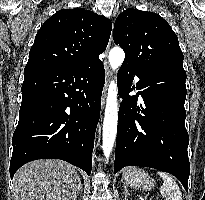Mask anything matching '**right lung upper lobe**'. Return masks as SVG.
<instances>
[{"label": "right lung upper lobe", "mask_w": 205, "mask_h": 200, "mask_svg": "<svg viewBox=\"0 0 205 200\" xmlns=\"http://www.w3.org/2000/svg\"><path fill=\"white\" fill-rule=\"evenodd\" d=\"M111 30L108 19L84 8L60 10L37 32L26 67L77 68L96 62Z\"/></svg>", "instance_id": "1"}]
</instances>
